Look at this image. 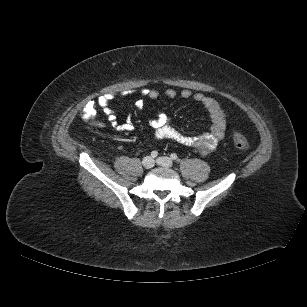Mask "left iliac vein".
Masks as SVG:
<instances>
[{
  "instance_id": "1",
  "label": "left iliac vein",
  "mask_w": 307,
  "mask_h": 307,
  "mask_svg": "<svg viewBox=\"0 0 307 307\" xmlns=\"http://www.w3.org/2000/svg\"><path fill=\"white\" fill-rule=\"evenodd\" d=\"M156 162L160 166L167 167V168L172 167V165H173V161L171 160V158L165 157V156L159 157L156 160Z\"/></svg>"
}]
</instances>
